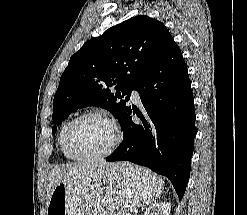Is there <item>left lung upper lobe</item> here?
Returning <instances> with one entry per match:
<instances>
[{
    "label": "left lung upper lobe",
    "mask_w": 247,
    "mask_h": 215,
    "mask_svg": "<svg viewBox=\"0 0 247 215\" xmlns=\"http://www.w3.org/2000/svg\"><path fill=\"white\" fill-rule=\"evenodd\" d=\"M171 40L162 22L139 15L87 41L72 55L60 78L53 100V123L58 125L87 106L107 109L121 123L131 108V91L159 61Z\"/></svg>",
    "instance_id": "5c2ea615"
}]
</instances>
